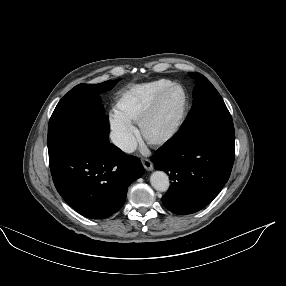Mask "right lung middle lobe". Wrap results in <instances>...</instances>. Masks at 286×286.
Returning <instances> with one entry per match:
<instances>
[{
    "instance_id": "1",
    "label": "right lung middle lobe",
    "mask_w": 286,
    "mask_h": 286,
    "mask_svg": "<svg viewBox=\"0 0 286 286\" xmlns=\"http://www.w3.org/2000/svg\"><path fill=\"white\" fill-rule=\"evenodd\" d=\"M118 81L79 84L59 101L49 121L48 152L79 139L92 141L106 151L111 149L108 116L99 94Z\"/></svg>"
}]
</instances>
